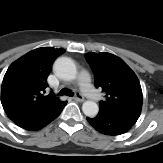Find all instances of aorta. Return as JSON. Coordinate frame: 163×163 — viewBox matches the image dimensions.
Listing matches in <instances>:
<instances>
[{
	"mask_svg": "<svg viewBox=\"0 0 163 163\" xmlns=\"http://www.w3.org/2000/svg\"><path fill=\"white\" fill-rule=\"evenodd\" d=\"M55 74L66 81H72L77 77L75 64L69 59H61L55 64ZM85 115L93 117L98 112V105L94 101H85L82 105Z\"/></svg>",
	"mask_w": 163,
	"mask_h": 163,
	"instance_id": "aorta-1",
	"label": "aorta"
}]
</instances>
